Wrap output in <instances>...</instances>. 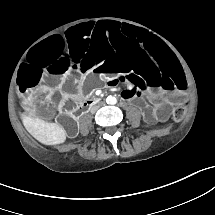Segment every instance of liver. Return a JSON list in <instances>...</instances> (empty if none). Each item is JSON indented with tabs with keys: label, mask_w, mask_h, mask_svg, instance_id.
<instances>
[{
	"label": "liver",
	"mask_w": 215,
	"mask_h": 215,
	"mask_svg": "<svg viewBox=\"0 0 215 215\" xmlns=\"http://www.w3.org/2000/svg\"><path fill=\"white\" fill-rule=\"evenodd\" d=\"M23 124L36 139L43 143L54 144L65 140V130L58 124L31 117H23Z\"/></svg>",
	"instance_id": "6515ba94"
}]
</instances>
